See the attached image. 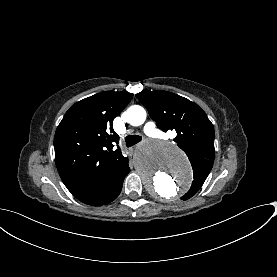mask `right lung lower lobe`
<instances>
[{"mask_svg":"<svg viewBox=\"0 0 277 277\" xmlns=\"http://www.w3.org/2000/svg\"><path fill=\"white\" fill-rule=\"evenodd\" d=\"M129 171L128 160H126L109 179L87 195L78 198V200L92 206H100L112 202L120 194L123 180Z\"/></svg>","mask_w":277,"mask_h":277,"instance_id":"1","label":"right lung lower lobe"}]
</instances>
